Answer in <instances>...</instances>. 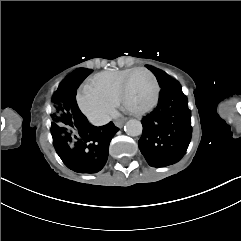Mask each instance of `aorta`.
Returning a JSON list of instances; mask_svg holds the SVG:
<instances>
[{"mask_svg": "<svg viewBox=\"0 0 241 241\" xmlns=\"http://www.w3.org/2000/svg\"><path fill=\"white\" fill-rule=\"evenodd\" d=\"M124 130L129 136H139L143 130L142 123L136 119H131L127 121Z\"/></svg>", "mask_w": 241, "mask_h": 241, "instance_id": "762f6f07", "label": "aorta"}]
</instances>
